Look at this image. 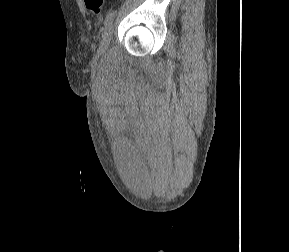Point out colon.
Returning <instances> with one entry per match:
<instances>
[{
    "label": "colon",
    "instance_id": "1",
    "mask_svg": "<svg viewBox=\"0 0 289 252\" xmlns=\"http://www.w3.org/2000/svg\"><path fill=\"white\" fill-rule=\"evenodd\" d=\"M105 0H84V4L89 12L100 15L104 9Z\"/></svg>",
    "mask_w": 289,
    "mask_h": 252
}]
</instances>
